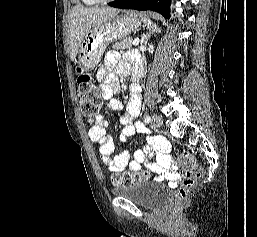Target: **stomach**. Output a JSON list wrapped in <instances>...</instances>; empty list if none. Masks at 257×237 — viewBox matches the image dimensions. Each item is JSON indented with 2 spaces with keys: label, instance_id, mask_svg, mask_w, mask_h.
Listing matches in <instances>:
<instances>
[{
  "label": "stomach",
  "instance_id": "obj_1",
  "mask_svg": "<svg viewBox=\"0 0 257 237\" xmlns=\"http://www.w3.org/2000/svg\"><path fill=\"white\" fill-rule=\"evenodd\" d=\"M140 24V20L134 13L119 14L117 12L108 20L94 26L86 34L79 47V66L84 71L92 70L100 62L110 43L125 39L138 29Z\"/></svg>",
  "mask_w": 257,
  "mask_h": 237
}]
</instances>
